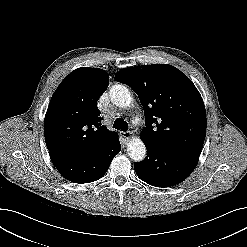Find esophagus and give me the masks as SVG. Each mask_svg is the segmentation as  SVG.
I'll return each instance as SVG.
<instances>
[{
	"label": "esophagus",
	"mask_w": 247,
	"mask_h": 247,
	"mask_svg": "<svg viewBox=\"0 0 247 247\" xmlns=\"http://www.w3.org/2000/svg\"><path fill=\"white\" fill-rule=\"evenodd\" d=\"M121 135H122V137H123L125 140H129V139L132 138L133 132H131V131L122 132Z\"/></svg>",
	"instance_id": "obj_1"
}]
</instances>
